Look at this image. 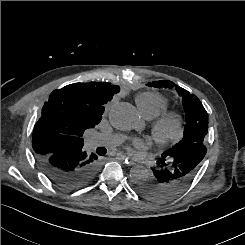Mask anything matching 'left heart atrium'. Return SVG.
<instances>
[{"label":"left heart atrium","instance_id":"1","mask_svg":"<svg viewBox=\"0 0 245 245\" xmlns=\"http://www.w3.org/2000/svg\"><path fill=\"white\" fill-rule=\"evenodd\" d=\"M145 148L146 144L139 138H134L128 146L129 152L134 155L137 154L138 151L144 150Z\"/></svg>","mask_w":245,"mask_h":245}]
</instances>
